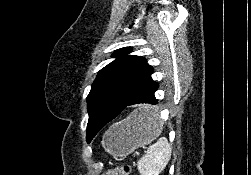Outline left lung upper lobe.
I'll use <instances>...</instances> for the list:
<instances>
[{
  "label": "left lung upper lobe",
  "instance_id": "obj_1",
  "mask_svg": "<svg viewBox=\"0 0 251 175\" xmlns=\"http://www.w3.org/2000/svg\"><path fill=\"white\" fill-rule=\"evenodd\" d=\"M130 47L114 52V61L98 72L87 96L89 121L87 126V142L103 128L104 124L97 120L95 112L110 103L124 104L131 97L138 84L153 71V67L141 56L128 55Z\"/></svg>",
  "mask_w": 251,
  "mask_h": 175
}]
</instances>
